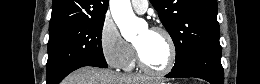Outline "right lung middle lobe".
Returning <instances> with one entry per match:
<instances>
[{"mask_svg":"<svg viewBox=\"0 0 260 84\" xmlns=\"http://www.w3.org/2000/svg\"><path fill=\"white\" fill-rule=\"evenodd\" d=\"M105 16L49 31L47 84H58L83 66L107 68L101 36Z\"/></svg>","mask_w":260,"mask_h":84,"instance_id":"1","label":"right lung middle lobe"}]
</instances>
